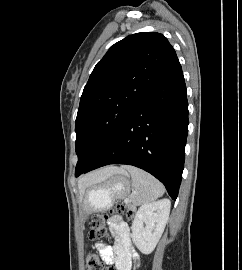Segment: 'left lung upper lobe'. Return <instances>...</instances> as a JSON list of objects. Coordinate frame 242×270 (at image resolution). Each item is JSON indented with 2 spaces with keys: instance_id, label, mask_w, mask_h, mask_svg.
<instances>
[{
  "instance_id": "1",
  "label": "left lung upper lobe",
  "mask_w": 242,
  "mask_h": 270,
  "mask_svg": "<svg viewBox=\"0 0 242 270\" xmlns=\"http://www.w3.org/2000/svg\"><path fill=\"white\" fill-rule=\"evenodd\" d=\"M176 60L167 38L156 32L129 35L107 51L92 71L80 99L75 121V176L90 167Z\"/></svg>"
}]
</instances>
